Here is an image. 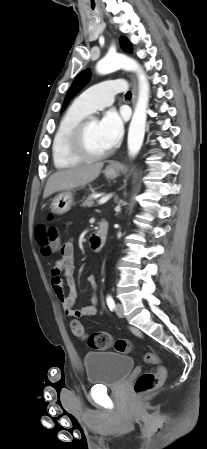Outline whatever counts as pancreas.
Returning <instances> with one entry per match:
<instances>
[{
  "label": "pancreas",
  "mask_w": 207,
  "mask_h": 449,
  "mask_svg": "<svg viewBox=\"0 0 207 449\" xmlns=\"http://www.w3.org/2000/svg\"><path fill=\"white\" fill-rule=\"evenodd\" d=\"M93 194H95V193L93 192ZM94 201H95V198L91 195L88 198H86V200L83 202L82 206L83 207H92L94 205Z\"/></svg>",
  "instance_id": "pancreas-1"
}]
</instances>
